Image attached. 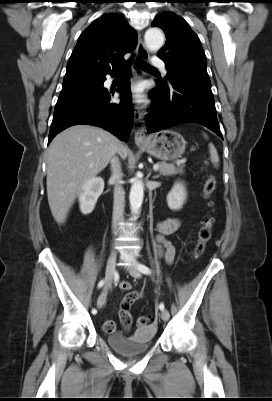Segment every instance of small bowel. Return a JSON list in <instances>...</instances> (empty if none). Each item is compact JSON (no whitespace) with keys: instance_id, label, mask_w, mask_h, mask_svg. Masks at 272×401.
Returning a JSON list of instances; mask_svg holds the SVG:
<instances>
[{"instance_id":"c3829d8e","label":"small bowel","mask_w":272,"mask_h":401,"mask_svg":"<svg viewBox=\"0 0 272 401\" xmlns=\"http://www.w3.org/2000/svg\"><path fill=\"white\" fill-rule=\"evenodd\" d=\"M180 227V221L177 218H166L158 224V234L155 239V252L159 257L166 260L167 263H172L175 257L174 245L166 239V236L173 234ZM120 289L122 291H129L131 284L128 281L120 283ZM141 294L137 291H129L122 299L119 307V318L126 331L131 327L132 316L130 313L131 306L140 299ZM100 300L101 305L104 304ZM115 322L111 319H107L104 323V329L107 333H112L115 330Z\"/></svg>"}]
</instances>
